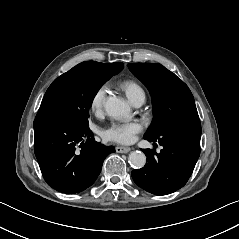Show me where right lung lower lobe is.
Returning <instances> with one entry per match:
<instances>
[{
  "label": "right lung lower lobe",
  "mask_w": 239,
  "mask_h": 239,
  "mask_svg": "<svg viewBox=\"0 0 239 239\" xmlns=\"http://www.w3.org/2000/svg\"><path fill=\"white\" fill-rule=\"evenodd\" d=\"M34 152L46 183L73 194L95 182L104 159L115 148L96 142L89 127L53 115L34 120Z\"/></svg>",
  "instance_id": "right-lung-lower-lobe-1"
}]
</instances>
